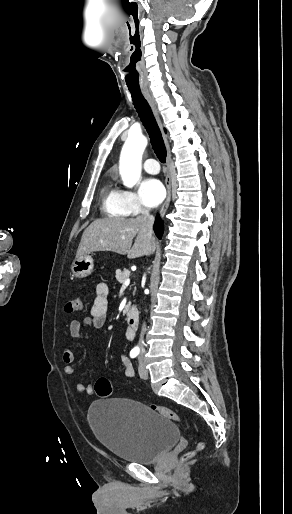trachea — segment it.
Returning a JSON list of instances; mask_svg holds the SVG:
<instances>
[{
  "mask_svg": "<svg viewBox=\"0 0 292 514\" xmlns=\"http://www.w3.org/2000/svg\"><path fill=\"white\" fill-rule=\"evenodd\" d=\"M129 91L131 93L133 105L150 137L152 149L160 162L165 163L167 156L166 147L150 105L146 98L143 97L141 90L129 89Z\"/></svg>",
  "mask_w": 292,
  "mask_h": 514,
  "instance_id": "obj_1",
  "label": "trachea"
}]
</instances>
